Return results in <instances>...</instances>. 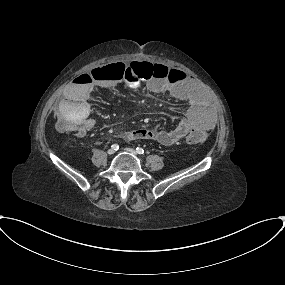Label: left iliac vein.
<instances>
[{
	"mask_svg": "<svg viewBox=\"0 0 285 285\" xmlns=\"http://www.w3.org/2000/svg\"><path fill=\"white\" fill-rule=\"evenodd\" d=\"M124 150H125L126 152H128V153L134 155V156L137 155V152H136L134 149H132V148H124Z\"/></svg>",
	"mask_w": 285,
	"mask_h": 285,
	"instance_id": "4c4485c4",
	"label": "left iliac vein"
}]
</instances>
